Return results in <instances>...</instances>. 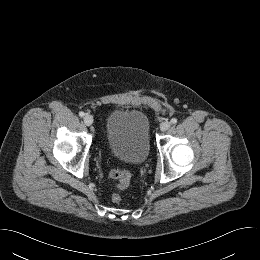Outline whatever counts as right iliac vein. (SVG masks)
<instances>
[{
    "label": "right iliac vein",
    "instance_id": "obj_1",
    "mask_svg": "<svg viewBox=\"0 0 260 260\" xmlns=\"http://www.w3.org/2000/svg\"><path fill=\"white\" fill-rule=\"evenodd\" d=\"M93 121H94V119H93L92 115L86 114V115L84 116V123H85L87 126H91V125L93 124Z\"/></svg>",
    "mask_w": 260,
    "mask_h": 260
}]
</instances>
